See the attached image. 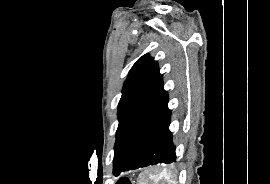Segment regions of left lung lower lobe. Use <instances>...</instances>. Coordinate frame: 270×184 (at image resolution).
Instances as JSON below:
<instances>
[{
	"instance_id": "0a47b994",
	"label": "left lung lower lobe",
	"mask_w": 270,
	"mask_h": 184,
	"mask_svg": "<svg viewBox=\"0 0 270 184\" xmlns=\"http://www.w3.org/2000/svg\"><path fill=\"white\" fill-rule=\"evenodd\" d=\"M171 111L168 96L157 113L136 139L120 168L114 172L118 176L123 171L138 169L155 164H170L176 161L175 145L169 130Z\"/></svg>"
}]
</instances>
